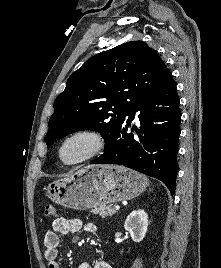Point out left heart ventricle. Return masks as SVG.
Listing matches in <instances>:
<instances>
[{
	"label": "left heart ventricle",
	"mask_w": 221,
	"mask_h": 268,
	"mask_svg": "<svg viewBox=\"0 0 221 268\" xmlns=\"http://www.w3.org/2000/svg\"><path fill=\"white\" fill-rule=\"evenodd\" d=\"M88 147V142L85 139H75L70 142L64 149V157L67 160H72L81 155Z\"/></svg>",
	"instance_id": "1"
}]
</instances>
